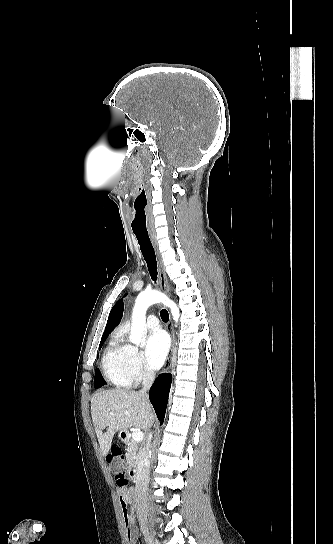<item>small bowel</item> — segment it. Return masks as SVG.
<instances>
[{
    "label": "small bowel",
    "mask_w": 333,
    "mask_h": 544,
    "mask_svg": "<svg viewBox=\"0 0 333 544\" xmlns=\"http://www.w3.org/2000/svg\"><path fill=\"white\" fill-rule=\"evenodd\" d=\"M118 494L126 523L127 540L129 544H135L138 537V529L133 506L134 488H120Z\"/></svg>",
    "instance_id": "obj_1"
}]
</instances>
